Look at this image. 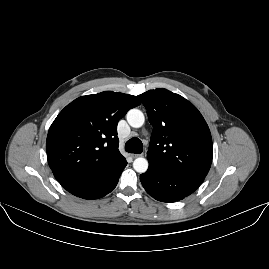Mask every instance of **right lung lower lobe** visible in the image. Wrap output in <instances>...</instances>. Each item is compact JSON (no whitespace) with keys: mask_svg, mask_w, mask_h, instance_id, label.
I'll return each instance as SVG.
<instances>
[{"mask_svg":"<svg viewBox=\"0 0 269 269\" xmlns=\"http://www.w3.org/2000/svg\"><path fill=\"white\" fill-rule=\"evenodd\" d=\"M127 165L121 156L100 172L71 176L59 180L70 193L84 199H97L111 192L117 185L119 177Z\"/></svg>","mask_w":269,"mask_h":269,"instance_id":"obj_1","label":"right lung lower lobe"}]
</instances>
